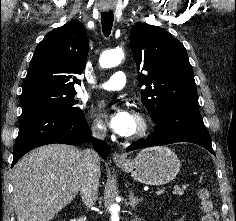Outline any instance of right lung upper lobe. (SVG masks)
I'll list each match as a JSON object with an SVG mask.
<instances>
[{
  "instance_id": "cb5924a9",
  "label": "right lung upper lobe",
  "mask_w": 236,
  "mask_h": 221,
  "mask_svg": "<svg viewBox=\"0 0 236 221\" xmlns=\"http://www.w3.org/2000/svg\"><path fill=\"white\" fill-rule=\"evenodd\" d=\"M88 39L79 21L50 31L38 44L23 83L22 94L52 88L72 91L84 69Z\"/></svg>"
}]
</instances>
